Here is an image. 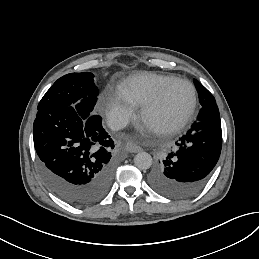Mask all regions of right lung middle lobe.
I'll use <instances>...</instances> for the list:
<instances>
[{"instance_id":"1","label":"right lung middle lobe","mask_w":259,"mask_h":259,"mask_svg":"<svg viewBox=\"0 0 259 259\" xmlns=\"http://www.w3.org/2000/svg\"><path fill=\"white\" fill-rule=\"evenodd\" d=\"M90 72L70 73L59 78L38 104V110L69 107L85 117L94 114L98 89Z\"/></svg>"}]
</instances>
